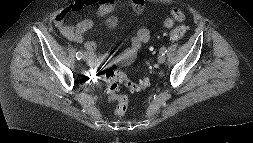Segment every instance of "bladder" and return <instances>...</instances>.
<instances>
[{
    "mask_svg": "<svg viewBox=\"0 0 253 143\" xmlns=\"http://www.w3.org/2000/svg\"><path fill=\"white\" fill-rule=\"evenodd\" d=\"M115 24H116V20H115L114 18H108V20H107V26H108L109 28L114 27Z\"/></svg>",
    "mask_w": 253,
    "mask_h": 143,
    "instance_id": "1",
    "label": "bladder"
}]
</instances>
